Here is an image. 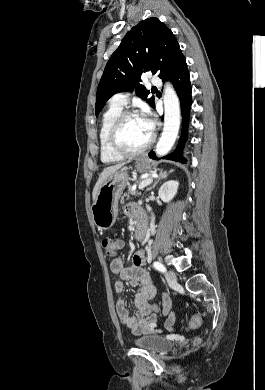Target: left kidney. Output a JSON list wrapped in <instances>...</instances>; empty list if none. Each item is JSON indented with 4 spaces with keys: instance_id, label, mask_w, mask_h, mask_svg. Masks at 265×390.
<instances>
[{
    "instance_id": "left-kidney-1",
    "label": "left kidney",
    "mask_w": 265,
    "mask_h": 390,
    "mask_svg": "<svg viewBox=\"0 0 265 390\" xmlns=\"http://www.w3.org/2000/svg\"><path fill=\"white\" fill-rule=\"evenodd\" d=\"M179 182L176 180H170L165 182L159 189V196L163 202L167 203L171 201L177 194Z\"/></svg>"
}]
</instances>
